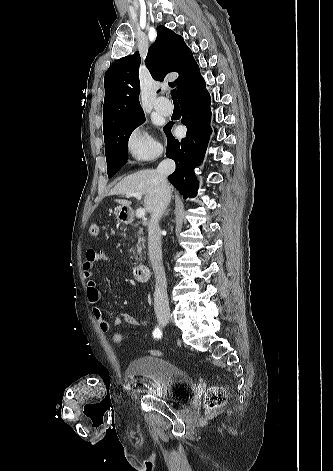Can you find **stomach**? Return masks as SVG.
<instances>
[{"label": "stomach", "mask_w": 333, "mask_h": 471, "mask_svg": "<svg viewBox=\"0 0 333 471\" xmlns=\"http://www.w3.org/2000/svg\"><path fill=\"white\" fill-rule=\"evenodd\" d=\"M123 212H124V207L123 206H119V207H116L115 208V215L117 217L118 220H123Z\"/></svg>", "instance_id": "stomach-1"}]
</instances>
